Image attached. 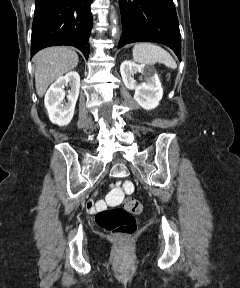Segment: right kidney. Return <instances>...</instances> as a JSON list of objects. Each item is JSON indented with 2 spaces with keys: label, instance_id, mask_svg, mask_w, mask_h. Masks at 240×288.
Masks as SVG:
<instances>
[{
  "label": "right kidney",
  "instance_id": "obj_1",
  "mask_svg": "<svg viewBox=\"0 0 240 288\" xmlns=\"http://www.w3.org/2000/svg\"><path fill=\"white\" fill-rule=\"evenodd\" d=\"M69 85L67 103H63L65 92L64 87ZM80 76L77 72L71 71L63 77H59L48 89L44 104L49 119L59 126L68 125L73 118L75 105L79 96Z\"/></svg>",
  "mask_w": 240,
  "mask_h": 288
}]
</instances>
